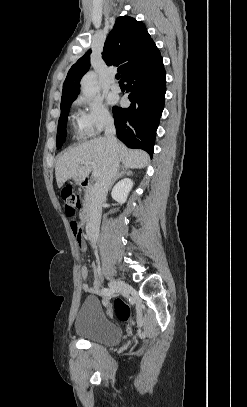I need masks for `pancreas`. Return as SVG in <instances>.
I'll return each instance as SVG.
<instances>
[{
	"label": "pancreas",
	"instance_id": "obj_1",
	"mask_svg": "<svg viewBox=\"0 0 247 407\" xmlns=\"http://www.w3.org/2000/svg\"><path fill=\"white\" fill-rule=\"evenodd\" d=\"M91 199V189H87L85 192V202H89Z\"/></svg>",
	"mask_w": 247,
	"mask_h": 407
}]
</instances>
